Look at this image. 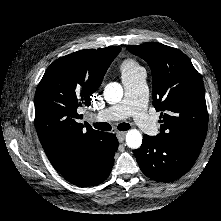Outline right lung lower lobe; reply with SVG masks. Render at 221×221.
Listing matches in <instances>:
<instances>
[{"label":"right lung lower lobe","instance_id":"right-lung-lower-lobe-1","mask_svg":"<svg viewBox=\"0 0 221 221\" xmlns=\"http://www.w3.org/2000/svg\"><path fill=\"white\" fill-rule=\"evenodd\" d=\"M118 146L114 134L102 132L94 154L75 158L57 171L76 186H96L108 178Z\"/></svg>","mask_w":221,"mask_h":221}]
</instances>
